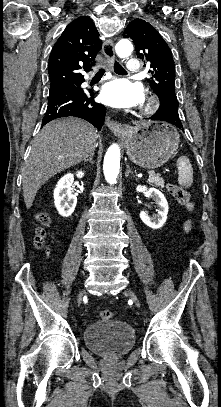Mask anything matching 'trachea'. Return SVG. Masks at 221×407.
<instances>
[{"instance_id": "trachea-1", "label": "trachea", "mask_w": 221, "mask_h": 407, "mask_svg": "<svg viewBox=\"0 0 221 407\" xmlns=\"http://www.w3.org/2000/svg\"><path fill=\"white\" fill-rule=\"evenodd\" d=\"M114 71L118 74H123L125 73V69L116 61L114 63ZM105 70L103 68H100L96 75H103Z\"/></svg>"}]
</instances>
